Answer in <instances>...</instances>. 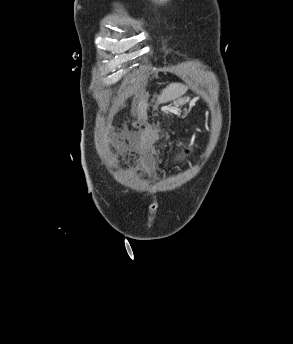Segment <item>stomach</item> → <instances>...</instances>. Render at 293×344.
<instances>
[{
  "label": "stomach",
  "instance_id": "0dacf381",
  "mask_svg": "<svg viewBox=\"0 0 293 344\" xmlns=\"http://www.w3.org/2000/svg\"><path fill=\"white\" fill-rule=\"evenodd\" d=\"M189 101V98L187 97H180L176 99L173 103L176 107L183 106Z\"/></svg>",
  "mask_w": 293,
  "mask_h": 344
}]
</instances>
